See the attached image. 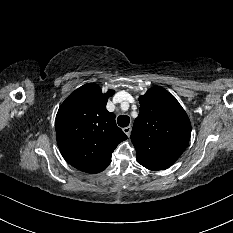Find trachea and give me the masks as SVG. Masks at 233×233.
<instances>
[{
    "instance_id": "obj_1",
    "label": "trachea",
    "mask_w": 233,
    "mask_h": 233,
    "mask_svg": "<svg viewBox=\"0 0 233 233\" xmlns=\"http://www.w3.org/2000/svg\"><path fill=\"white\" fill-rule=\"evenodd\" d=\"M117 123L120 127H127L130 123V118L127 115H121L117 118Z\"/></svg>"
}]
</instances>
